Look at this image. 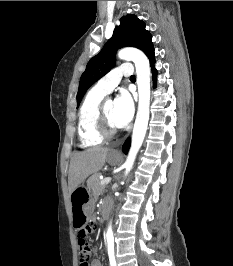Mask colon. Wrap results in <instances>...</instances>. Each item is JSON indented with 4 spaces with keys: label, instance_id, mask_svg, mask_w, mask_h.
Here are the masks:
<instances>
[{
    "label": "colon",
    "instance_id": "1",
    "mask_svg": "<svg viewBox=\"0 0 233 266\" xmlns=\"http://www.w3.org/2000/svg\"><path fill=\"white\" fill-rule=\"evenodd\" d=\"M96 229V225L93 222H89L86 225V232H78V246L80 250V266H88L89 258L91 254V246L86 241L87 234L93 232Z\"/></svg>",
    "mask_w": 233,
    "mask_h": 266
}]
</instances>
